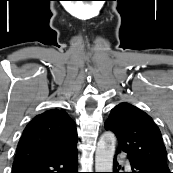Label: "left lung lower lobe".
Masks as SVG:
<instances>
[{
    "mask_svg": "<svg viewBox=\"0 0 173 173\" xmlns=\"http://www.w3.org/2000/svg\"><path fill=\"white\" fill-rule=\"evenodd\" d=\"M116 157H117V155H115V157H114L113 173H119L118 169L121 168V167L118 168V163L116 162ZM128 159H129V163L131 166V171L129 173H169V171H166L160 167L149 164L147 162L137 160L133 157L128 156Z\"/></svg>",
    "mask_w": 173,
    "mask_h": 173,
    "instance_id": "obj_1",
    "label": "left lung lower lobe"
}]
</instances>
